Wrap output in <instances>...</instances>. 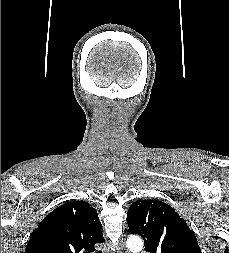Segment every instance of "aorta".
<instances>
[{"instance_id":"762f6f07","label":"aorta","mask_w":229,"mask_h":253,"mask_svg":"<svg viewBox=\"0 0 229 253\" xmlns=\"http://www.w3.org/2000/svg\"><path fill=\"white\" fill-rule=\"evenodd\" d=\"M127 247L132 253H139L143 248V242L139 237L132 236L127 239Z\"/></svg>"}]
</instances>
